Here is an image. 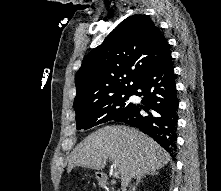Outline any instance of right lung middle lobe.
<instances>
[{"label":"right lung middle lobe","mask_w":221,"mask_h":191,"mask_svg":"<svg viewBox=\"0 0 221 191\" xmlns=\"http://www.w3.org/2000/svg\"><path fill=\"white\" fill-rule=\"evenodd\" d=\"M133 91L110 97L76 113L77 130L90 129L111 120L120 121L127 115L132 103L127 100Z\"/></svg>","instance_id":"1"}]
</instances>
